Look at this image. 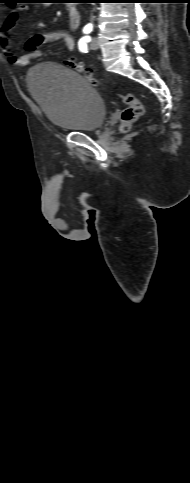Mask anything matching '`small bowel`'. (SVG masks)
<instances>
[{"label": "small bowel", "instance_id": "small-bowel-1", "mask_svg": "<svg viewBox=\"0 0 190 483\" xmlns=\"http://www.w3.org/2000/svg\"><path fill=\"white\" fill-rule=\"evenodd\" d=\"M26 10L27 6L25 4L15 7L0 28V49L10 63L19 67H24L28 65L32 59L37 58L40 55V49L43 45L55 41L64 42L68 50L74 49L75 40L69 31L54 30L30 37L24 44L26 53L21 56H16L11 49V33L20 15Z\"/></svg>", "mask_w": 190, "mask_h": 483}]
</instances>
